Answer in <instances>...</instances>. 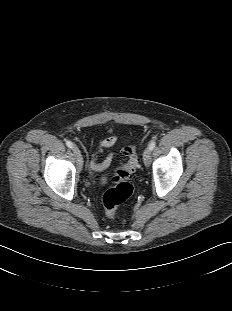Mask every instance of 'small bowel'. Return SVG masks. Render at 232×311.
Masks as SVG:
<instances>
[{"instance_id": "1", "label": "small bowel", "mask_w": 232, "mask_h": 311, "mask_svg": "<svg viewBox=\"0 0 232 311\" xmlns=\"http://www.w3.org/2000/svg\"><path fill=\"white\" fill-rule=\"evenodd\" d=\"M117 141L116 136H109L108 138L104 139L97 149V152L93 156L92 160L90 161L89 167L92 172H99L103 171L105 168L108 167V165L111 162L112 157L108 156L105 160L102 162H99L98 156L103 152L104 149L109 148L113 146Z\"/></svg>"}]
</instances>
